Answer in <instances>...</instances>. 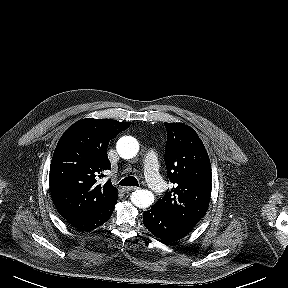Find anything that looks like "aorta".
<instances>
[{
	"label": "aorta",
	"instance_id": "aorta-1",
	"mask_svg": "<svg viewBox=\"0 0 288 288\" xmlns=\"http://www.w3.org/2000/svg\"><path fill=\"white\" fill-rule=\"evenodd\" d=\"M139 151L138 141L132 136H124L118 140L117 152L124 159H131ZM131 202L139 208H147L154 202V194L148 190H135L131 195Z\"/></svg>",
	"mask_w": 288,
	"mask_h": 288
}]
</instances>
